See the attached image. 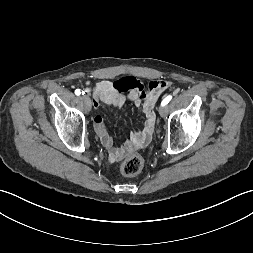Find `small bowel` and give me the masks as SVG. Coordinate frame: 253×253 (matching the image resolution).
Here are the masks:
<instances>
[{
    "label": "small bowel",
    "mask_w": 253,
    "mask_h": 253,
    "mask_svg": "<svg viewBox=\"0 0 253 253\" xmlns=\"http://www.w3.org/2000/svg\"><path fill=\"white\" fill-rule=\"evenodd\" d=\"M166 80H154L149 83L146 92L142 83L134 77H123L113 83L102 80L89 89L93 97L95 108L101 105H109L121 108L126 102H132L138 111L145 116L143 128L133 131L128 140L120 146H114L113 138L108 133L104 120L100 115L94 117V128L103 146L109 151L111 162H118L132 151L145 146L152 138L155 128L154 104L159 96L168 88ZM128 93H124L127 92Z\"/></svg>",
    "instance_id": "1"
}]
</instances>
